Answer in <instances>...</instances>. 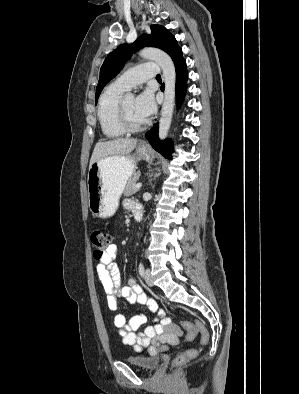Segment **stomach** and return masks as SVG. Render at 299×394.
Listing matches in <instances>:
<instances>
[{
	"label": "stomach",
	"instance_id": "0dacf381",
	"mask_svg": "<svg viewBox=\"0 0 299 394\" xmlns=\"http://www.w3.org/2000/svg\"><path fill=\"white\" fill-rule=\"evenodd\" d=\"M139 158L149 160V152L138 147ZM136 159L133 156H110L95 161L88 171V204L95 217L108 218L114 215L119 198L127 181L135 174Z\"/></svg>",
	"mask_w": 299,
	"mask_h": 394
}]
</instances>
